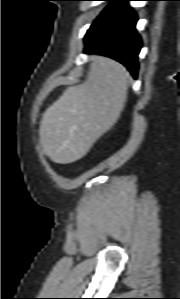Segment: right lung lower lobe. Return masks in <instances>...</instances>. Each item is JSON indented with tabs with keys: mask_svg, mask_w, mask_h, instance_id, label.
<instances>
[{
	"mask_svg": "<svg viewBox=\"0 0 180 299\" xmlns=\"http://www.w3.org/2000/svg\"><path fill=\"white\" fill-rule=\"evenodd\" d=\"M110 1L87 31L84 52L111 57L125 65L136 78L142 46L135 28L137 14L127 3L131 0Z\"/></svg>",
	"mask_w": 180,
	"mask_h": 299,
	"instance_id": "right-lung-lower-lobe-1",
	"label": "right lung lower lobe"
}]
</instances>
